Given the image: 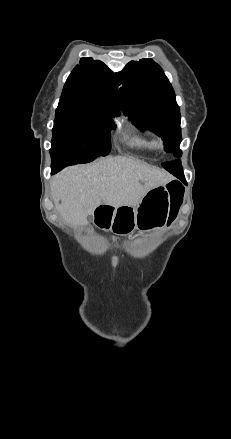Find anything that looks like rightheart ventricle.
Listing matches in <instances>:
<instances>
[{
    "label": "right heart ventricle",
    "instance_id": "e07e8e85",
    "mask_svg": "<svg viewBox=\"0 0 231 439\" xmlns=\"http://www.w3.org/2000/svg\"><path fill=\"white\" fill-rule=\"evenodd\" d=\"M127 143L131 147L143 150H153L155 148L154 140L147 135L129 136L127 137Z\"/></svg>",
    "mask_w": 231,
    "mask_h": 439
}]
</instances>
